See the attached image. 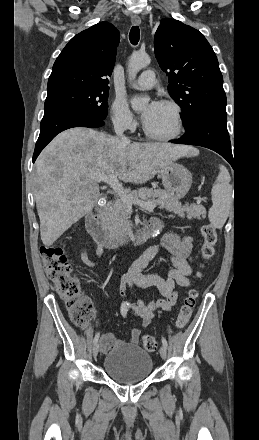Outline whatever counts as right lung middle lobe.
I'll return each mask as SVG.
<instances>
[{
  "mask_svg": "<svg viewBox=\"0 0 259 440\" xmlns=\"http://www.w3.org/2000/svg\"><path fill=\"white\" fill-rule=\"evenodd\" d=\"M108 90L71 88L47 95L44 117L60 113H82L104 120L107 116Z\"/></svg>",
  "mask_w": 259,
  "mask_h": 440,
  "instance_id": "right-lung-middle-lobe-1",
  "label": "right lung middle lobe"
}]
</instances>
